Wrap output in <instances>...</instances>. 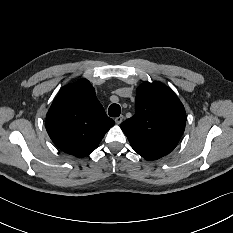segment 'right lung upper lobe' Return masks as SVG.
Listing matches in <instances>:
<instances>
[{"instance_id":"1","label":"right lung upper lobe","mask_w":233,"mask_h":233,"mask_svg":"<svg viewBox=\"0 0 233 233\" xmlns=\"http://www.w3.org/2000/svg\"><path fill=\"white\" fill-rule=\"evenodd\" d=\"M113 125L86 79L61 88L46 116L53 143L80 158L93 152Z\"/></svg>"}]
</instances>
